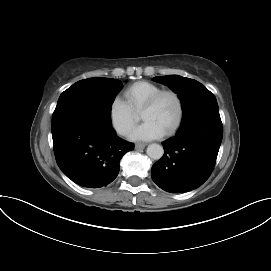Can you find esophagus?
Returning a JSON list of instances; mask_svg holds the SVG:
<instances>
[{"instance_id":"esophagus-1","label":"esophagus","mask_w":271,"mask_h":271,"mask_svg":"<svg viewBox=\"0 0 271 271\" xmlns=\"http://www.w3.org/2000/svg\"><path fill=\"white\" fill-rule=\"evenodd\" d=\"M146 147L145 143H136L135 149H144Z\"/></svg>"}]
</instances>
